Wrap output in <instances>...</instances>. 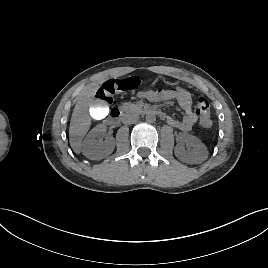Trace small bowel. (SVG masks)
I'll list each match as a JSON object with an SVG mask.
<instances>
[{"label": "small bowel", "mask_w": 268, "mask_h": 268, "mask_svg": "<svg viewBox=\"0 0 268 268\" xmlns=\"http://www.w3.org/2000/svg\"><path fill=\"white\" fill-rule=\"evenodd\" d=\"M138 96L152 102H162L175 100L184 115L181 119L171 116L167 117V123L181 131H189L192 129L198 119V115L193 110V100L190 92L182 87H175L168 90L146 91L138 93Z\"/></svg>", "instance_id": "c3829d8e"}]
</instances>
